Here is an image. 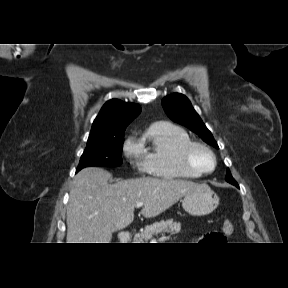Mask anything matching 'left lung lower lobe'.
<instances>
[{
  "label": "left lung lower lobe",
  "mask_w": 288,
  "mask_h": 288,
  "mask_svg": "<svg viewBox=\"0 0 288 288\" xmlns=\"http://www.w3.org/2000/svg\"><path fill=\"white\" fill-rule=\"evenodd\" d=\"M231 184H233V185H235L236 187H238L239 188V186H238V184H237V182H232Z\"/></svg>",
  "instance_id": "left-lung-lower-lobe-1"
}]
</instances>
